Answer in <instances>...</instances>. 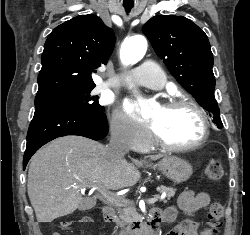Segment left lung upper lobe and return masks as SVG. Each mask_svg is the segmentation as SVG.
Returning <instances> with one entry per match:
<instances>
[{"label":"left lung upper lobe","instance_id":"5c2ea615","mask_svg":"<svg viewBox=\"0 0 250 235\" xmlns=\"http://www.w3.org/2000/svg\"><path fill=\"white\" fill-rule=\"evenodd\" d=\"M142 32L179 84L222 128L214 96L213 54L204 31L183 16L159 15L146 22Z\"/></svg>","mask_w":250,"mask_h":235}]
</instances>
